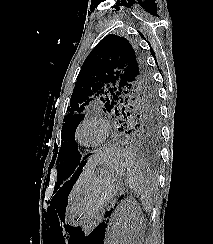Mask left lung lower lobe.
I'll list each match as a JSON object with an SVG mask.
<instances>
[{
    "mask_svg": "<svg viewBox=\"0 0 213 244\" xmlns=\"http://www.w3.org/2000/svg\"><path fill=\"white\" fill-rule=\"evenodd\" d=\"M118 130L129 135L131 138H133V140L135 142L142 144L143 147L146 148L151 153H156L158 135H156L154 137H151V136L145 137L141 134H138V132H136L134 128H132L128 124H124V123L120 124V128ZM89 155L90 154H88L86 156H81L79 154V156L71 170V174L73 173V175L70 179V182H72V184L77 180L79 174L82 171V168L86 164V159Z\"/></svg>",
    "mask_w": 213,
    "mask_h": 244,
    "instance_id": "1",
    "label": "left lung lower lobe"
}]
</instances>
